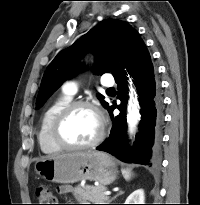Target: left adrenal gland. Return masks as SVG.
I'll use <instances>...</instances> for the list:
<instances>
[{
	"instance_id": "left-adrenal-gland-1",
	"label": "left adrenal gland",
	"mask_w": 200,
	"mask_h": 205,
	"mask_svg": "<svg viewBox=\"0 0 200 205\" xmlns=\"http://www.w3.org/2000/svg\"><path fill=\"white\" fill-rule=\"evenodd\" d=\"M123 193H124V191H122V190L118 191V193L110 201L115 200L119 195H122Z\"/></svg>"
}]
</instances>
